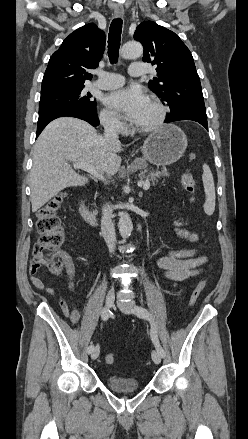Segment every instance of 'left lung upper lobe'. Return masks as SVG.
Segmentation results:
<instances>
[{
	"mask_svg": "<svg viewBox=\"0 0 248 439\" xmlns=\"http://www.w3.org/2000/svg\"><path fill=\"white\" fill-rule=\"evenodd\" d=\"M134 39L143 45V61L157 66V77L149 81L148 87L169 105L166 117L190 110L206 113L192 54L179 36L153 21H145L136 28Z\"/></svg>",
	"mask_w": 248,
	"mask_h": 439,
	"instance_id": "left-lung-upper-lobe-1",
	"label": "left lung upper lobe"
}]
</instances>
